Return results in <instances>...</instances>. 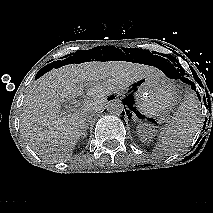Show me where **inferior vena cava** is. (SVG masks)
Segmentation results:
<instances>
[{
    "mask_svg": "<svg viewBox=\"0 0 213 213\" xmlns=\"http://www.w3.org/2000/svg\"><path fill=\"white\" fill-rule=\"evenodd\" d=\"M95 110H91V111H89L87 114H86V117H85V120L87 121V122H89L92 118H93V116L95 115Z\"/></svg>",
    "mask_w": 213,
    "mask_h": 213,
    "instance_id": "obj_1",
    "label": "inferior vena cava"
}]
</instances>
